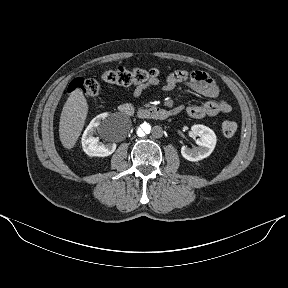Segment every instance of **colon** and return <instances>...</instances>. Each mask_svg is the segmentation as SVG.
Returning a JSON list of instances; mask_svg holds the SVG:
<instances>
[{
  "mask_svg": "<svg viewBox=\"0 0 288 288\" xmlns=\"http://www.w3.org/2000/svg\"><path fill=\"white\" fill-rule=\"evenodd\" d=\"M156 75L157 72L155 69L134 68L129 70L119 67L115 70H107L103 72L101 78L107 83L129 86L133 84L138 85L145 83ZM74 91H81L88 97H94L101 93V86L94 79L76 78L69 84L68 87V92ZM236 131V122L226 120L222 123V132L225 136L231 137L236 133Z\"/></svg>",
  "mask_w": 288,
  "mask_h": 288,
  "instance_id": "obj_1",
  "label": "colon"
}]
</instances>
